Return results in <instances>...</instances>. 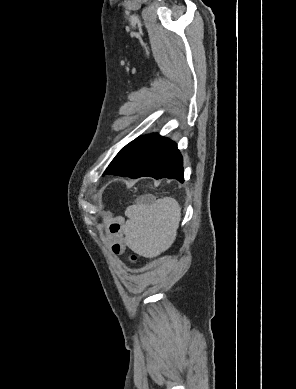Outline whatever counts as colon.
<instances>
[{
	"label": "colon",
	"mask_w": 296,
	"mask_h": 389,
	"mask_svg": "<svg viewBox=\"0 0 296 389\" xmlns=\"http://www.w3.org/2000/svg\"><path fill=\"white\" fill-rule=\"evenodd\" d=\"M129 260H130L131 262H135L136 258H135V256H130V257H129Z\"/></svg>",
	"instance_id": "obj_1"
}]
</instances>
